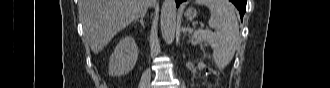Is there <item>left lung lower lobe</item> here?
Returning a JSON list of instances; mask_svg holds the SVG:
<instances>
[{"label": "left lung lower lobe", "mask_w": 330, "mask_h": 88, "mask_svg": "<svg viewBox=\"0 0 330 88\" xmlns=\"http://www.w3.org/2000/svg\"><path fill=\"white\" fill-rule=\"evenodd\" d=\"M186 0H176V6L178 7L179 4ZM239 10L241 19L246 11V0H230Z\"/></svg>", "instance_id": "1"}]
</instances>
